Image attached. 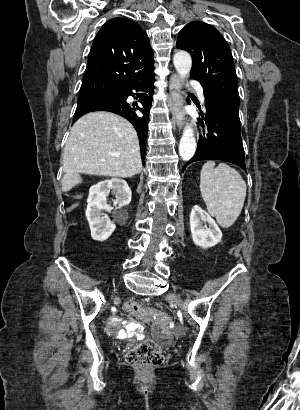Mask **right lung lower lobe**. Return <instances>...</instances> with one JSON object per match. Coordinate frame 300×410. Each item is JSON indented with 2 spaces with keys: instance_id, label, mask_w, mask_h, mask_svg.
Listing matches in <instances>:
<instances>
[{
  "instance_id": "obj_1",
  "label": "right lung lower lobe",
  "mask_w": 300,
  "mask_h": 410,
  "mask_svg": "<svg viewBox=\"0 0 300 410\" xmlns=\"http://www.w3.org/2000/svg\"><path fill=\"white\" fill-rule=\"evenodd\" d=\"M154 81L152 73L140 79L127 81L119 88L117 94H103L80 100L73 121L92 111H110L123 116L132 123L138 133L141 157L144 160ZM128 96L139 97L140 105L128 103Z\"/></svg>"
}]
</instances>
